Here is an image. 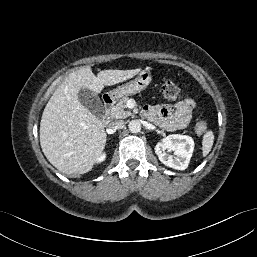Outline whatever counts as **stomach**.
I'll return each instance as SVG.
<instances>
[{"instance_id": "stomach-1", "label": "stomach", "mask_w": 257, "mask_h": 257, "mask_svg": "<svg viewBox=\"0 0 257 257\" xmlns=\"http://www.w3.org/2000/svg\"><path fill=\"white\" fill-rule=\"evenodd\" d=\"M151 80V71L149 69H144L138 74V76L135 79L121 86H118L114 90L110 91L109 96L113 100H117L122 97H127L136 94L145 89L150 84Z\"/></svg>"}]
</instances>
